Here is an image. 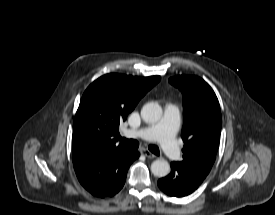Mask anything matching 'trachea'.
Instances as JSON below:
<instances>
[{
  "instance_id": "trachea-1",
  "label": "trachea",
  "mask_w": 275,
  "mask_h": 215,
  "mask_svg": "<svg viewBox=\"0 0 275 215\" xmlns=\"http://www.w3.org/2000/svg\"><path fill=\"white\" fill-rule=\"evenodd\" d=\"M119 140L124 144L126 145L128 148H131V149H137L139 147V142L134 140V139H126V138H122L121 136H119ZM149 150L155 154V155H159L160 152H159V148L155 145H150L149 147Z\"/></svg>"
}]
</instances>
